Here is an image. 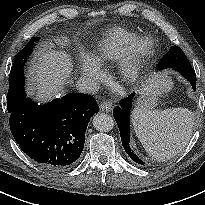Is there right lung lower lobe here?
Wrapping results in <instances>:
<instances>
[{
	"label": "right lung lower lobe",
	"mask_w": 205,
	"mask_h": 205,
	"mask_svg": "<svg viewBox=\"0 0 205 205\" xmlns=\"http://www.w3.org/2000/svg\"><path fill=\"white\" fill-rule=\"evenodd\" d=\"M98 111L95 99L82 93L46 105L26 98L10 113L9 124L24 153L47 170H62L77 162L89 120Z\"/></svg>",
	"instance_id": "right-lung-lower-lobe-1"
}]
</instances>
